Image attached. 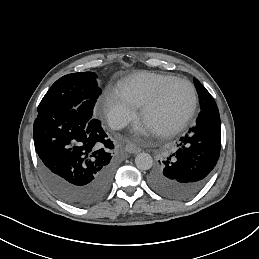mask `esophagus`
Returning <instances> with one entry per match:
<instances>
[{"label":"esophagus","instance_id":"obj_1","mask_svg":"<svg viewBox=\"0 0 259 259\" xmlns=\"http://www.w3.org/2000/svg\"><path fill=\"white\" fill-rule=\"evenodd\" d=\"M126 150L127 152L129 153H132V154H136V153H139L141 152V148L135 146L134 144H131V143H128L126 145Z\"/></svg>","mask_w":259,"mask_h":259}]
</instances>
